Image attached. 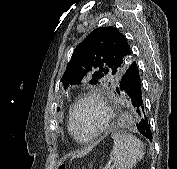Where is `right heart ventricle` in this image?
<instances>
[{
  "label": "right heart ventricle",
  "instance_id": "e07e8e85",
  "mask_svg": "<svg viewBox=\"0 0 177 169\" xmlns=\"http://www.w3.org/2000/svg\"><path fill=\"white\" fill-rule=\"evenodd\" d=\"M67 128H68L69 134H70L74 139H76L77 141H79V142H81V143H86V142H87V141H81V140H79V139L74 135V133H73V131H72V128H71V125H70V119H68Z\"/></svg>",
  "mask_w": 177,
  "mask_h": 169
}]
</instances>
